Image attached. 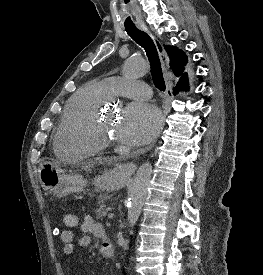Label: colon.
Here are the masks:
<instances>
[{
  "label": "colon",
  "instance_id": "5ec220e1",
  "mask_svg": "<svg viewBox=\"0 0 263 275\" xmlns=\"http://www.w3.org/2000/svg\"><path fill=\"white\" fill-rule=\"evenodd\" d=\"M64 225L68 228L75 227L78 224L77 216L73 213H66L63 217Z\"/></svg>",
  "mask_w": 263,
  "mask_h": 275
}]
</instances>
